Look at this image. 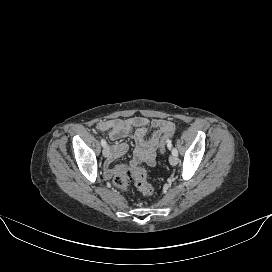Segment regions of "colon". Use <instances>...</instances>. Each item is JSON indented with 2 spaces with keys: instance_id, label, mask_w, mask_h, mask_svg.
<instances>
[{
  "instance_id": "colon-1",
  "label": "colon",
  "mask_w": 272,
  "mask_h": 272,
  "mask_svg": "<svg viewBox=\"0 0 272 272\" xmlns=\"http://www.w3.org/2000/svg\"><path fill=\"white\" fill-rule=\"evenodd\" d=\"M173 135L174 129L164 134L159 144V151L161 153L165 152V150L169 147ZM132 181L135 182L136 187L142 193L150 194L153 191L152 186L147 180L145 169L139 167L138 165L132 164L119 170L113 178L114 185L121 190H127Z\"/></svg>"
}]
</instances>
